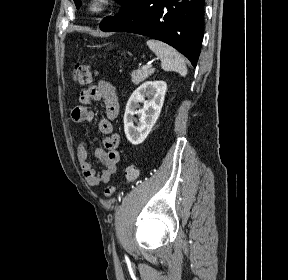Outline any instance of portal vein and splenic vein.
Segmentation results:
<instances>
[{
    "label": "portal vein and splenic vein",
    "instance_id": "18ae733b",
    "mask_svg": "<svg viewBox=\"0 0 288 280\" xmlns=\"http://www.w3.org/2000/svg\"><path fill=\"white\" fill-rule=\"evenodd\" d=\"M151 66H152V64H151V63H148L147 65L143 66L142 69H147V68H149V67H151Z\"/></svg>",
    "mask_w": 288,
    "mask_h": 280
}]
</instances>
